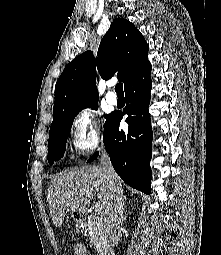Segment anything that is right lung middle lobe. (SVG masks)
Listing matches in <instances>:
<instances>
[{
    "label": "right lung middle lobe",
    "instance_id": "obj_1",
    "mask_svg": "<svg viewBox=\"0 0 221 255\" xmlns=\"http://www.w3.org/2000/svg\"><path fill=\"white\" fill-rule=\"evenodd\" d=\"M86 107L97 109V103L88 105ZM82 109L62 115L59 118L56 128L49 132L48 161L50 165H52L54 161H58L59 159H61V157L64 155L67 138H68V135L70 134L73 120L75 116L79 113V111H81ZM105 118H106V122H105V125H106L110 118V115L105 116Z\"/></svg>",
    "mask_w": 221,
    "mask_h": 255
}]
</instances>
